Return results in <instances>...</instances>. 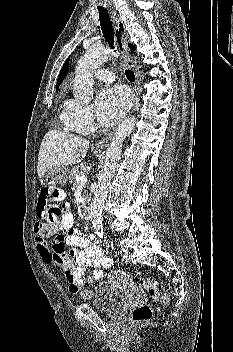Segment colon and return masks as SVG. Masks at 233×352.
I'll return each mask as SVG.
<instances>
[{"mask_svg": "<svg viewBox=\"0 0 233 352\" xmlns=\"http://www.w3.org/2000/svg\"><path fill=\"white\" fill-rule=\"evenodd\" d=\"M35 232L38 237L47 242L48 240L54 239L58 236V230L52 224L46 221H38L34 226ZM141 286L147 291L149 296L164 305L169 303V297L165 292V289L160 283L153 278H142L140 279ZM80 297L87 300L91 297L92 292L88 289H79ZM153 311L148 305H142L135 308L132 312V322L142 323L152 318Z\"/></svg>", "mask_w": 233, "mask_h": 352, "instance_id": "1", "label": "colon"}]
</instances>
